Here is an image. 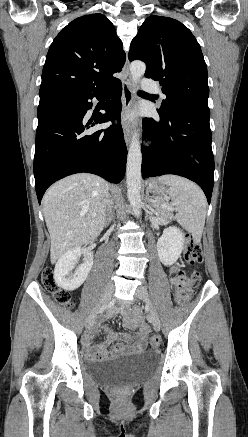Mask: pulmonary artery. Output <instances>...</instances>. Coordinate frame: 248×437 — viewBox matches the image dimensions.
<instances>
[{
	"mask_svg": "<svg viewBox=\"0 0 248 437\" xmlns=\"http://www.w3.org/2000/svg\"><path fill=\"white\" fill-rule=\"evenodd\" d=\"M141 84H142V88L147 92L160 93L158 86L151 79L143 78L141 81ZM161 96H164V95L161 94Z\"/></svg>",
	"mask_w": 248,
	"mask_h": 437,
	"instance_id": "1",
	"label": "pulmonary artery"
}]
</instances>
